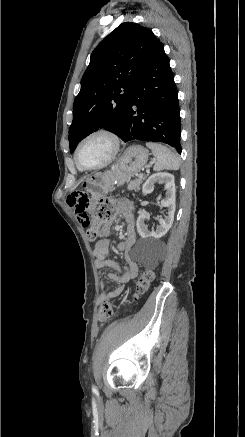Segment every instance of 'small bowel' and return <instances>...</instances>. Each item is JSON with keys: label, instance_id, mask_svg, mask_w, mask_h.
I'll use <instances>...</instances> for the list:
<instances>
[{"label": "small bowel", "instance_id": "1", "mask_svg": "<svg viewBox=\"0 0 245 437\" xmlns=\"http://www.w3.org/2000/svg\"><path fill=\"white\" fill-rule=\"evenodd\" d=\"M70 205L75 208L76 219L81 224L83 229H90L92 227L91 214L89 211L88 199H83L79 194H74L70 198ZM115 213L117 216L124 218L126 222L125 239L121 241L117 249L126 255V265L121 275L115 273H108V278L112 281L119 283V286L114 289L109 295L117 296L124 290V285L130 280L134 279L138 275V264L129 256V251L135 244L136 232H135V219L133 215L132 203L127 200L118 202L115 206ZM111 227V221H106L102 227V238L96 242L94 246L95 266L97 268H112L120 271V267L117 262L109 259L110 255V243L107 238ZM106 293H102L99 297L100 302H104L109 296Z\"/></svg>", "mask_w": 245, "mask_h": 437}]
</instances>
